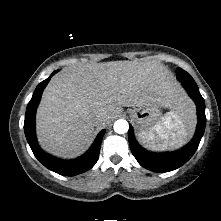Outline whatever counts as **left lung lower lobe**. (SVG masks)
<instances>
[{
    "label": "left lung lower lobe",
    "instance_id": "obj_1",
    "mask_svg": "<svg viewBox=\"0 0 221 221\" xmlns=\"http://www.w3.org/2000/svg\"><path fill=\"white\" fill-rule=\"evenodd\" d=\"M182 84L197 106L198 124L195 135L190 143L175 152H149L137 143L133 135V129L131 126L129 127L128 138L134 157L141 166L153 172H169L186 163L197 150L205 130L206 116L204 99L202 98L195 82H182Z\"/></svg>",
    "mask_w": 221,
    "mask_h": 221
}]
</instances>
